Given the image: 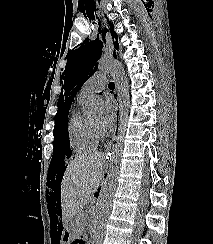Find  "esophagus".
<instances>
[{"instance_id": "obj_1", "label": "esophagus", "mask_w": 213, "mask_h": 244, "mask_svg": "<svg viewBox=\"0 0 213 244\" xmlns=\"http://www.w3.org/2000/svg\"><path fill=\"white\" fill-rule=\"evenodd\" d=\"M118 101H119V98H118ZM120 118H121V112H120V107H119V108H117V111H116L115 132L113 134L112 139L108 143L107 148H106V151H105L106 152V157L108 159H111L112 152L114 150V144H115V140L117 138L116 131L120 127Z\"/></svg>"}]
</instances>
